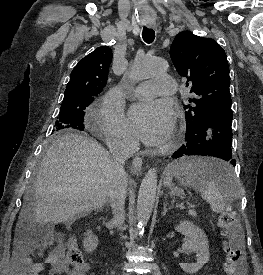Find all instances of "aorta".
Masks as SVG:
<instances>
[{
    "label": "aorta",
    "mask_w": 263,
    "mask_h": 275,
    "mask_svg": "<svg viewBox=\"0 0 263 275\" xmlns=\"http://www.w3.org/2000/svg\"><path fill=\"white\" fill-rule=\"evenodd\" d=\"M166 69L167 64L164 60L145 57L135 60L127 77L130 82L138 83ZM157 182L156 169H149L141 182L137 200V223L140 230L144 229L151 216L156 199Z\"/></svg>",
    "instance_id": "762f6f07"
}]
</instances>
